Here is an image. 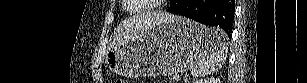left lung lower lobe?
Wrapping results in <instances>:
<instances>
[{"label": "left lung lower lobe", "mask_w": 307, "mask_h": 83, "mask_svg": "<svg viewBox=\"0 0 307 83\" xmlns=\"http://www.w3.org/2000/svg\"><path fill=\"white\" fill-rule=\"evenodd\" d=\"M166 11L205 25H216L229 36L233 29L234 0H171Z\"/></svg>", "instance_id": "0a47b994"}]
</instances>
